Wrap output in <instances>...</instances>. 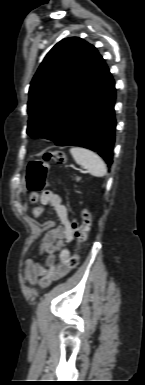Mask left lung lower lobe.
<instances>
[{
    "instance_id": "0a47b994",
    "label": "left lung lower lobe",
    "mask_w": 145,
    "mask_h": 385,
    "mask_svg": "<svg viewBox=\"0 0 145 385\" xmlns=\"http://www.w3.org/2000/svg\"><path fill=\"white\" fill-rule=\"evenodd\" d=\"M115 83L99 55L85 87L53 136L58 146L89 148L112 164L116 121Z\"/></svg>"
}]
</instances>
